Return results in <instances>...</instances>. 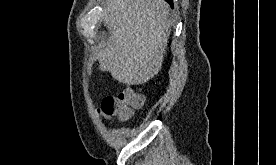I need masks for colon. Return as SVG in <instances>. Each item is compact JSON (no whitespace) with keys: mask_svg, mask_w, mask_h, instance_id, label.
<instances>
[{"mask_svg":"<svg viewBox=\"0 0 276 165\" xmlns=\"http://www.w3.org/2000/svg\"><path fill=\"white\" fill-rule=\"evenodd\" d=\"M142 105V98L132 87L125 88L117 96L106 97L101 105V113L106 117L128 119L134 109Z\"/></svg>","mask_w":276,"mask_h":165,"instance_id":"1","label":"colon"}]
</instances>
